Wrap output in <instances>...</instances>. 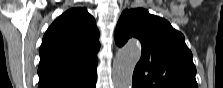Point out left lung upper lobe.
Masks as SVG:
<instances>
[{
    "mask_svg": "<svg viewBox=\"0 0 223 88\" xmlns=\"http://www.w3.org/2000/svg\"><path fill=\"white\" fill-rule=\"evenodd\" d=\"M131 37L142 44V55L133 73L139 88H198L192 53L182 33L143 8L124 10L115 32L123 46Z\"/></svg>",
    "mask_w": 223,
    "mask_h": 88,
    "instance_id": "obj_1",
    "label": "left lung upper lobe"
}]
</instances>
